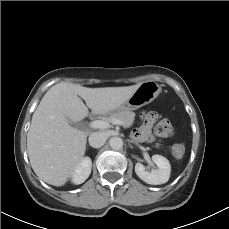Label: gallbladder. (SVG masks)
Here are the masks:
<instances>
[{
  "instance_id": "1",
  "label": "gallbladder",
  "mask_w": 229,
  "mask_h": 229,
  "mask_svg": "<svg viewBox=\"0 0 229 229\" xmlns=\"http://www.w3.org/2000/svg\"><path fill=\"white\" fill-rule=\"evenodd\" d=\"M71 125L74 127H79L80 123L79 122H70Z\"/></svg>"
}]
</instances>
